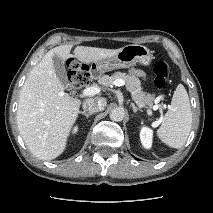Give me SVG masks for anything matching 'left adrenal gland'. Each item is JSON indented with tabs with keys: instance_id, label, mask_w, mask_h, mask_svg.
Returning <instances> with one entry per match:
<instances>
[{
	"instance_id": "1",
	"label": "left adrenal gland",
	"mask_w": 213,
	"mask_h": 213,
	"mask_svg": "<svg viewBox=\"0 0 213 213\" xmlns=\"http://www.w3.org/2000/svg\"><path fill=\"white\" fill-rule=\"evenodd\" d=\"M131 107L134 113H136L137 111H142L141 108L136 107L134 103H131Z\"/></svg>"
}]
</instances>
